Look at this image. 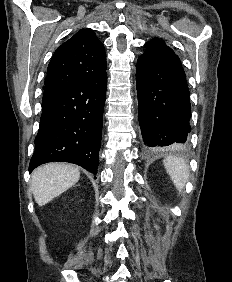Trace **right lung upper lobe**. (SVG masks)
Listing matches in <instances>:
<instances>
[{"label":"right lung upper lobe","mask_w":232,"mask_h":282,"mask_svg":"<svg viewBox=\"0 0 232 282\" xmlns=\"http://www.w3.org/2000/svg\"><path fill=\"white\" fill-rule=\"evenodd\" d=\"M104 45L92 29L79 30L54 53L47 68L42 103L49 106L73 85L106 72Z\"/></svg>","instance_id":"cb5924a9"}]
</instances>
